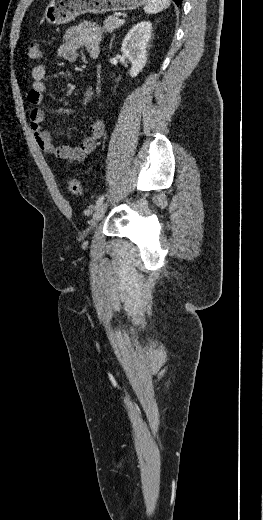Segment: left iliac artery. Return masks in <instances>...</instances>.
Wrapping results in <instances>:
<instances>
[{"label":"left iliac artery","mask_w":263,"mask_h":520,"mask_svg":"<svg viewBox=\"0 0 263 520\" xmlns=\"http://www.w3.org/2000/svg\"><path fill=\"white\" fill-rule=\"evenodd\" d=\"M105 198V195H102L98 198V200L96 201V204H95V208H97L99 205L102 204L103 200Z\"/></svg>","instance_id":"left-iliac-artery-1"}]
</instances>
